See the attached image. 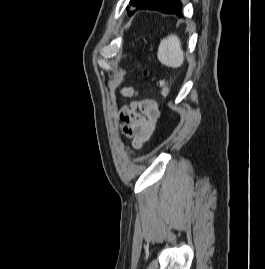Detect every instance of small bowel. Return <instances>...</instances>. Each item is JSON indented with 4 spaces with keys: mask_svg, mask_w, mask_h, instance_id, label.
I'll return each instance as SVG.
<instances>
[{
    "mask_svg": "<svg viewBox=\"0 0 265 269\" xmlns=\"http://www.w3.org/2000/svg\"><path fill=\"white\" fill-rule=\"evenodd\" d=\"M122 93L128 96L133 93V90L125 88ZM137 109L141 111V114L138 113ZM121 118L133 125L132 146L141 148L155 129L159 118V109L154 100L144 99L138 104H132L130 107L124 108L121 112Z\"/></svg>",
    "mask_w": 265,
    "mask_h": 269,
    "instance_id": "c3829d8e",
    "label": "small bowel"
}]
</instances>
